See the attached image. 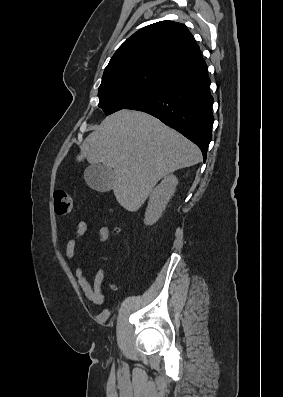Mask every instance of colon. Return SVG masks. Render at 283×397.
<instances>
[{"mask_svg":"<svg viewBox=\"0 0 283 397\" xmlns=\"http://www.w3.org/2000/svg\"><path fill=\"white\" fill-rule=\"evenodd\" d=\"M54 209L58 215H65L72 210V198L64 189L54 191Z\"/></svg>","mask_w":283,"mask_h":397,"instance_id":"5ec220e1","label":"colon"}]
</instances>
